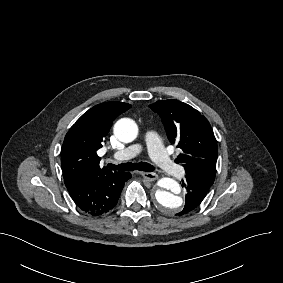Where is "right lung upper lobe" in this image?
<instances>
[{"mask_svg": "<svg viewBox=\"0 0 283 283\" xmlns=\"http://www.w3.org/2000/svg\"><path fill=\"white\" fill-rule=\"evenodd\" d=\"M131 108L123 102L98 104L84 113L67 132L61 151L65 185L83 176L110 173L99 166L98 149L102 147L112 122Z\"/></svg>", "mask_w": 283, "mask_h": 283, "instance_id": "cb5924a9", "label": "right lung upper lobe"}]
</instances>
